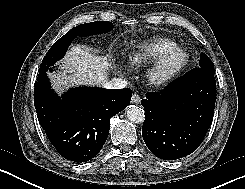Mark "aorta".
Masks as SVG:
<instances>
[{
  "mask_svg": "<svg viewBox=\"0 0 245 189\" xmlns=\"http://www.w3.org/2000/svg\"><path fill=\"white\" fill-rule=\"evenodd\" d=\"M126 116L132 123H142L145 119V112L140 106L129 105L126 109Z\"/></svg>",
  "mask_w": 245,
  "mask_h": 189,
  "instance_id": "1",
  "label": "aorta"
}]
</instances>
